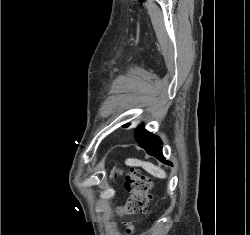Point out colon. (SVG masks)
Masks as SVG:
<instances>
[{"instance_id":"colon-1","label":"colon","mask_w":250,"mask_h":235,"mask_svg":"<svg viewBox=\"0 0 250 235\" xmlns=\"http://www.w3.org/2000/svg\"><path fill=\"white\" fill-rule=\"evenodd\" d=\"M120 173V171H116V175ZM151 185V180L141 174L138 169L132 168L127 171L125 173V188L129 193V197L124 207V211L128 214L142 212L148 204ZM133 230L134 226L132 224L127 225L129 234H131Z\"/></svg>"}]
</instances>
